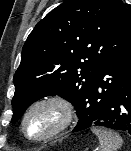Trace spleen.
<instances>
[{"label":"spleen","instance_id":"spleen-1","mask_svg":"<svg viewBox=\"0 0 131 151\" xmlns=\"http://www.w3.org/2000/svg\"><path fill=\"white\" fill-rule=\"evenodd\" d=\"M91 131L98 137V151H117L122 146V138L114 131L101 127H92Z\"/></svg>","mask_w":131,"mask_h":151}]
</instances>
